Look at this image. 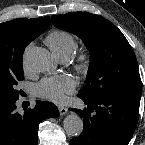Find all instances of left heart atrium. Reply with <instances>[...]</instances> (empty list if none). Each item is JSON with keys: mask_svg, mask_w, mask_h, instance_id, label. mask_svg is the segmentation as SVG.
I'll list each match as a JSON object with an SVG mask.
<instances>
[{"mask_svg": "<svg viewBox=\"0 0 145 145\" xmlns=\"http://www.w3.org/2000/svg\"><path fill=\"white\" fill-rule=\"evenodd\" d=\"M75 86V80L71 76L61 75L41 80L35 86V93L41 98L60 103L67 94L74 91Z\"/></svg>", "mask_w": 145, "mask_h": 145, "instance_id": "1", "label": "left heart atrium"}]
</instances>
